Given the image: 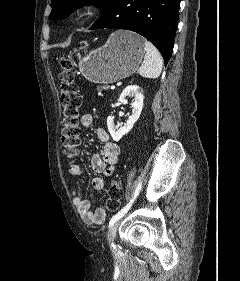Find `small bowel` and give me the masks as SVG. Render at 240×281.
<instances>
[{
	"mask_svg": "<svg viewBox=\"0 0 240 281\" xmlns=\"http://www.w3.org/2000/svg\"><path fill=\"white\" fill-rule=\"evenodd\" d=\"M93 124V116L90 113L81 116V125L90 127ZM98 140L103 144L100 154H95L91 158V167L97 173L92 179V187L95 190H103L105 187V177L110 176L115 169L120 154L119 146L111 141L108 132L103 128L95 130ZM69 173L77 182L84 181L82 168L74 163L69 164ZM73 202L84 223L88 225H99L103 223L106 217V208L100 207L95 210L91 208L88 200L83 198L81 192L77 189L73 190Z\"/></svg>",
	"mask_w": 240,
	"mask_h": 281,
	"instance_id": "c3829d8e",
	"label": "small bowel"
}]
</instances>
